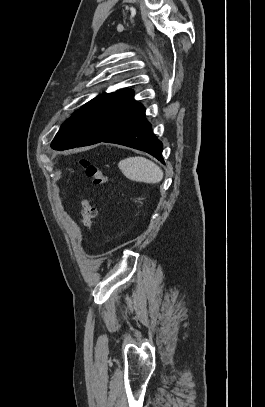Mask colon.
Wrapping results in <instances>:
<instances>
[{
  "label": "colon",
  "instance_id": "colon-1",
  "mask_svg": "<svg viewBox=\"0 0 265 407\" xmlns=\"http://www.w3.org/2000/svg\"><path fill=\"white\" fill-rule=\"evenodd\" d=\"M80 165L92 183L89 193L82 198V224L85 230L89 231L97 214L95 201L101 196V189L107 183V176L102 167L97 164L81 160Z\"/></svg>",
  "mask_w": 265,
  "mask_h": 407
}]
</instances>
